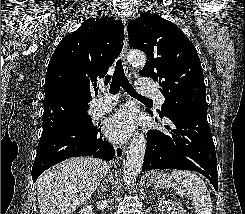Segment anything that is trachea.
Wrapping results in <instances>:
<instances>
[{"label":"trachea","mask_w":245,"mask_h":214,"mask_svg":"<svg viewBox=\"0 0 245 214\" xmlns=\"http://www.w3.org/2000/svg\"><path fill=\"white\" fill-rule=\"evenodd\" d=\"M120 87H122L124 89V91L127 92L132 97L150 100V99L138 94L136 92V90L132 87V85L129 83L127 77L125 76L124 69L122 66V62L119 59L116 62L115 71L113 74V78H112V82L110 85L109 92L111 94H116L119 91Z\"/></svg>","instance_id":"obj_1"}]
</instances>
